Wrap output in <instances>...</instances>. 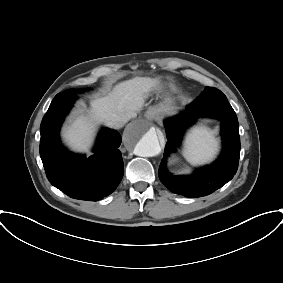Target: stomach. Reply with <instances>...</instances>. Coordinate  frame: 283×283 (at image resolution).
Returning a JSON list of instances; mask_svg holds the SVG:
<instances>
[{
    "label": "stomach",
    "instance_id": "0dacf381",
    "mask_svg": "<svg viewBox=\"0 0 283 283\" xmlns=\"http://www.w3.org/2000/svg\"><path fill=\"white\" fill-rule=\"evenodd\" d=\"M155 111L157 113H171L172 107L168 104H160L159 106L155 107Z\"/></svg>",
    "mask_w": 283,
    "mask_h": 283
}]
</instances>
